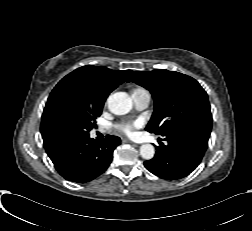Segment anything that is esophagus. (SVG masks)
Wrapping results in <instances>:
<instances>
[{"instance_id": "esophagus-1", "label": "esophagus", "mask_w": 252, "mask_h": 231, "mask_svg": "<svg viewBox=\"0 0 252 231\" xmlns=\"http://www.w3.org/2000/svg\"><path fill=\"white\" fill-rule=\"evenodd\" d=\"M122 141H123L124 143L134 144L133 141H131V140H129V139H126V138L122 139Z\"/></svg>"}]
</instances>
